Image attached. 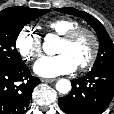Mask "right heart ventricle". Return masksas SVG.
Listing matches in <instances>:
<instances>
[{
  "mask_svg": "<svg viewBox=\"0 0 114 114\" xmlns=\"http://www.w3.org/2000/svg\"><path fill=\"white\" fill-rule=\"evenodd\" d=\"M78 26V21L67 17L55 18L45 23V28L48 32L58 35H64L68 31Z\"/></svg>",
  "mask_w": 114,
  "mask_h": 114,
  "instance_id": "1",
  "label": "right heart ventricle"
}]
</instances>
